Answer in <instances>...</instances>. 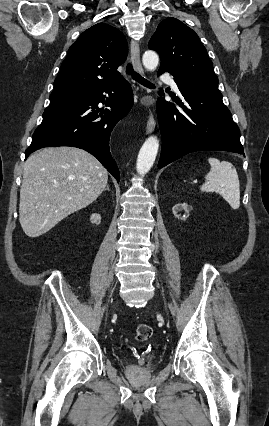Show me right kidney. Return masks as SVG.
Returning a JSON list of instances; mask_svg holds the SVG:
<instances>
[{
	"label": "right kidney",
	"instance_id": "obj_1",
	"mask_svg": "<svg viewBox=\"0 0 269 426\" xmlns=\"http://www.w3.org/2000/svg\"><path fill=\"white\" fill-rule=\"evenodd\" d=\"M91 224L92 225H98L100 222V220H101V217H100V215L99 214H92V216H91Z\"/></svg>",
	"mask_w": 269,
	"mask_h": 426
}]
</instances>
